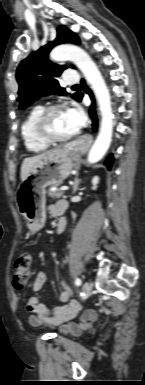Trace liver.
I'll list each match as a JSON object with an SVG mask.
<instances>
[{
    "label": "liver",
    "instance_id": "obj_1",
    "mask_svg": "<svg viewBox=\"0 0 145 385\" xmlns=\"http://www.w3.org/2000/svg\"><path fill=\"white\" fill-rule=\"evenodd\" d=\"M47 153L48 152H45V153H42V154H39V155H36L33 157L25 158L23 160V163L21 166V181H24L28 177V175L31 172V169L33 168L35 163L38 162Z\"/></svg>",
    "mask_w": 145,
    "mask_h": 385
}]
</instances>
